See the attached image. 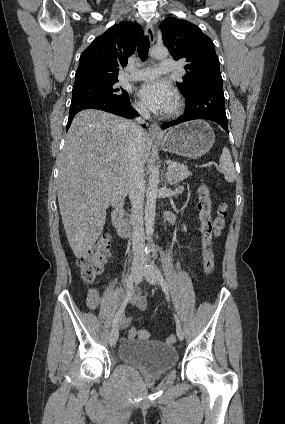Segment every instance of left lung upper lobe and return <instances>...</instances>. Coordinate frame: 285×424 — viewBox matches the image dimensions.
I'll return each instance as SVG.
<instances>
[{"label": "left lung upper lobe", "instance_id": "1", "mask_svg": "<svg viewBox=\"0 0 285 424\" xmlns=\"http://www.w3.org/2000/svg\"><path fill=\"white\" fill-rule=\"evenodd\" d=\"M160 29L164 44L173 58H183L187 62L183 82H177L185 97L202 86L222 85L214 44L196 25L170 17L161 23Z\"/></svg>", "mask_w": 285, "mask_h": 424}]
</instances>
